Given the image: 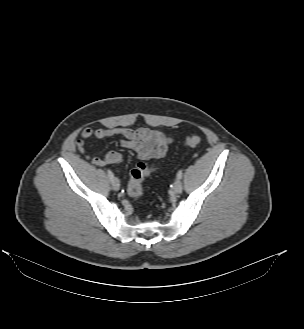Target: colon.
<instances>
[{
	"instance_id": "obj_1",
	"label": "colon",
	"mask_w": 304,
	"mask_h": 329,
	"mask_svg": "<svg viewBox=\"0 0 304 329\" xmlns=\"http://www.w3.org/2000/svg\"><path fill=\"white\" fill-rule=\"evenodd\" d=\"M200 135H190L184 140L187 147H196L202 143ZM156 171L155 166L145 162H139L130 172L127 192L134 199H141L144 195L143 180Z\"/></svg>"
}]
</instances>
